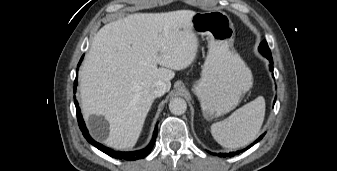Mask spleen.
<instances>
[{"instance_id": "1", "label": "spleen", "mask_w": 337, "mask_h": 171, "mask_svg": "<svg viewBox=\"0 0 337 171\" xmlns=\"http://www.w3.org/2000/svg\"><path fill=\"white\" fill-rule=\"evenodd\" d=\"M265 116V99L258 96L233 112L228 118L211 125L213 138L223 147L236 149L251 143L258 135Z\"/></svg>"}]
</instances>
